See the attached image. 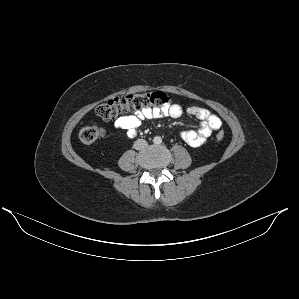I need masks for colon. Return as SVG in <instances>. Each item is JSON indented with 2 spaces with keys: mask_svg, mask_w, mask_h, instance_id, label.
I'll list each match as a JSON object with an SVG mask.
<instances>
[{
  "mask_svg": "<svg viewBox=\"0 0 299 299\" xmlns=\"http://www.w3.org/2000/svg\"><path fill=\"white\" fill-rule=\"evenodd\" d=\"M168 103L169 97L159 91L129 94L102 102L96 107L95 114L98 118L108 121L124 113L162 108L167 106ZM104 135V128L96 123H90L80 129L78 137L83 144H92L102 139ZM216 139L223 140L224 132L218 131Z\"/></svg>",
  "mask_w": 299,
  "mask_h": 299,
  "instance_id": "obj_1",
  "label": "colon"
}]
</instances>
